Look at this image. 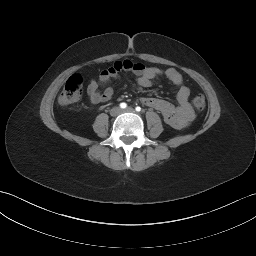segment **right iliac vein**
<instances>
[{"label": "right iliac vein", "instance_id": "63e3f726", "mask_svg": "<svg viewBox=\"0 0 256 256\" xmlns=\"http://www.w3.org/2000/svg\"><path fill=\"white\" fill-rule=\"evenodd\" d=\"M120 113H121V109H120V108H117V107H116V108H113V109H112V114H113V115L116 116V115H118V114H120Z\"/></svg>", "mask_w": 256, "mask_h": 256}]
</instances>
